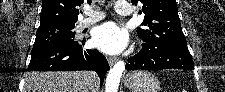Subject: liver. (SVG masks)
I'll return each instance as SVG.
<instances>
[{
  "mask_svg": "<svg viewBox=\"0 0 225 92\" xmlns=\"http://www.w3.org/2000/svg\"><path fill=\"white\" fill-rule=\"evenodd\" d=\"M98 77L92 71L28 72L24 92H97Z\"/></svg>",
  "mask_w": 225,
  "mask_h": 92,
  "instance_id": "6515ba94",
  "label": "liver"
}]
</instances>
